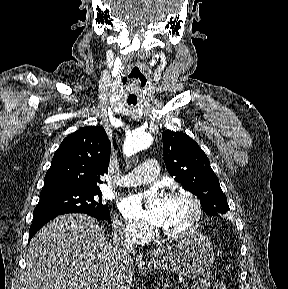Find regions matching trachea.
Returning a JSON list of instances; mask_svg holds the SVG:
<instances>
[{"label": "trachea", "mask_w": 288, "mask_h": 289, "mask_svg": "<svg viewBox=\"0 0 288 289\" xmlns=\"http://www.w3.org/2000/svg\"><path fill=\"white\" fill-rule=\"evenodd\" d=\"M143 78V72L138 66H133L128 73V84L126 86V98L129 105H136L139 99V82Z\"/></svg>", "instance_id": "1"}]
</instances>
